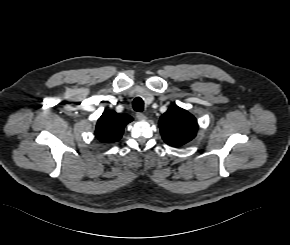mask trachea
I'll list each match as a JSON object with an SVG mask.
<instances>
[{"instance_id":"1","label":"trachea","mask_w":290,"mask_h":245,"mask_svg":"<svg viewBox=\"0 0 290 245\" xmlns=\"http://www.w3.org/2000/svg\"><path fill=\"white\" fill-rule=\"evenodd\" d=\"M144 108L143 100L140 97H137L133 101V109L137 112H142Z\"/></svg>"}]
</instances>
